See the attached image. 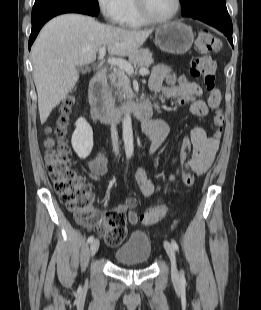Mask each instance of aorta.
I'll list each match as a JSON object with an SVG mask.
<instances>
[{
    "label": "aorta",
    "instance_id": "762f6f07",
    "mask_svg": "<svg viewBox=\"0 0 261 310\" xmlns=\"http://www.w3.org/2000/svg\"><path fill=\"white\" fill-rule=\"evenodd\" d=\"M122 136L126 155L128 156L133 155L134 152L133 129H132L131 116L129 114H126L122 121Z\"/></svg>",
    "mask_w": 261,
    "mask_h": 310
}]
</instances>
